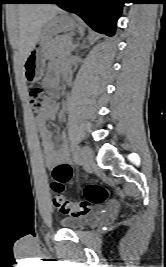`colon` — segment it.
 I'll return each instance as SVG.
<instances>
[{"instance_id":"5ec220e1","label":"colon","mask_w":166,"mask_h":267,"mask_svg":"<svg viewBox=\"0 0 166 267\" xmlns=\"http://www.w3.org/2000/svg\"><path fill=\"white\" fill-rule=\"evenodd\" d=\"M32 110L39 114L53 106L54 93L46 92L41 87H34L29 92ZM72 171L58 167L53 171L54 182L51 185L53 203L56 209L65 215L81 216L90 212L93 204H100L108 198V191L99 184H89L85 188V201L73 202L65 198L61 192L63 184L71 178Z\"/></svg>"}]
</instances>
